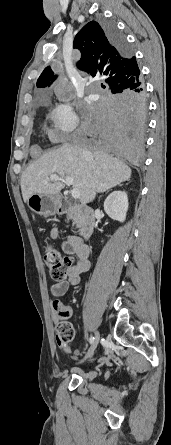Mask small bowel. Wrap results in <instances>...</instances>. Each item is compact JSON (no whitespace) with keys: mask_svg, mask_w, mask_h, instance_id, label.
Returning a JSON list of instances; mask_svg holds the SVG:
<instances>
[{"mask_svg":"<svg viewBox=\"0 0 171 445\" xmlns=\"http://www.w3.org/2000/svg\"><path fill=\"white\" fill-rule=\"evenodd\" d=\"M50 236L53 240L59 241V246L63 253L67 255H76L77 257L76 264L67 269V279L52 286L53 294L55 296H61L64 295L71 286L78 284L80 281V275L89 270L90 251L88 246L75 235H69L60 240L59 230L56 227L52 228ZM59 306L58 301H54L51 304V318L54 323H58L60 321ZM70 314L71 311L66 309V315L69 316ZM61 348L65 353L71 352V347L68 345H62ZM75 352L77 353L78 350H75Z\"/></svg>","mask_w":171,"mask_h":445,"instance_id":"small-bowel-1","label":"small bowel"}]
</instances>
